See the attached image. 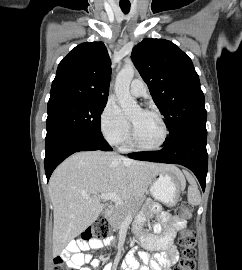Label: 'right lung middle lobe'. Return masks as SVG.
<instances>
[{
  "instance_id": "obj_1",
  "label": "right lung middle lobe",
  "mask_w": 242,
  "mask_h": 270,
  "mask_svg": "<svg viewBox=\"0 0 242 270\" xmlns=\"http://www.w3.org/2000/svg\"><path fill=\"white\" fill-rule=\"evenodd\" d=\"M107 101H69L48 105L45 141L63 133L103 137L100 116Z\"/></svg>"
}]
</instances>
